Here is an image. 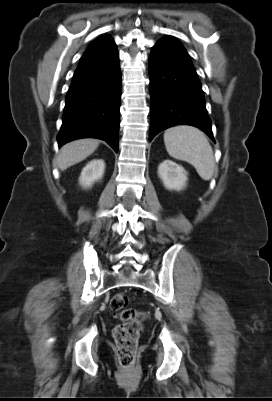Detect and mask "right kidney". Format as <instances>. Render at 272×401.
<instances>
[{
  "label": "right kidney",
  "mask_w": 272,
  "mask_h": 401,
  "mask_svg": "<svg viewBox=\"0 0 272 401\" xmlns=\"http://www.w3.org/2000/svg\"><path fill=\"white\" fill-rule=\"evenodd\" d=\"M105 170V163L102 159H95L90 161L81 172L79 183L84 188H89L94 182L103 177Z\"/></svg>",
  "instance_id": "obj_1"
}]
</instances>
